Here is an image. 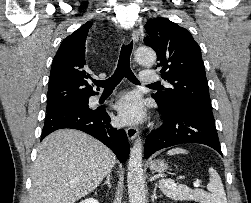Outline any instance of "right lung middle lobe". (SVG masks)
I'll list each match as a JSON object with an SVG mask.
<instances>
[{
    "mask_svg": "<svg viewBox=\"0 0 251 203\" xmlns=\"http://www.w3.org/2000/svg\"><path fill=\"white\" fill-rule=\"evenodd\" d=\"M70 106H88V99L77 102V103L72 104ZM46 112L48 113V112H51V111L46 110Z\"/></svg>",
    "mask_w": 251,
    "mask_h": 203,
    "instance_id": "dd1d6c3e",
    "label": "right lung middle lobe"
}]
</instances>
